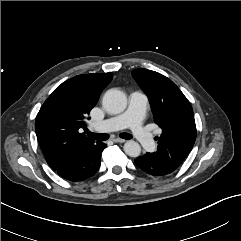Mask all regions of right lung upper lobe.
<instances>
[{
  "label": "right lung upper lobe",
  "instance_id": "obj_1",
  "mask_svg": "<svg viewBox=\"0 0 241 241\" xmlns=\"http://www.w3.org/2000/svg\"><path fill=\"white\" fill-rule=\"evenodd\" d=\"M112 74H85L59 85L40 108L35 130L48 165L60 169L75 153L96 146L91 138L80 133Z\"/></svg>",
  "mask_w": 241,
  "mask_h": 241
}]
</instances>
